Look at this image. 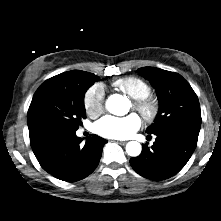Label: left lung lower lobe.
Segmentation results:
<instances>
[{"label": "left lung lower lobe", "mask_w": 221, "mask_h": 221, "mask_svg": "<svg viewBox=\"0 0 221 221\" xmlns=\"http://www.w3.org/2000/svg\"><path fill=\"white\" fill-rule=\"evenodd\" d=\"M199 131L185 124H173L148 133L156 135V140L151 147L144 144L142 153L130 159L132 168L150 180L170 178L185 166L193 154Z\"/></svg>", "instance_id": "1"}]
</instances>
